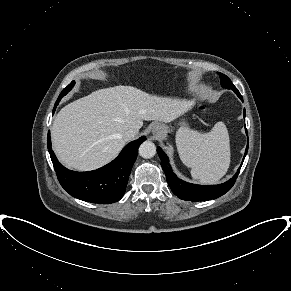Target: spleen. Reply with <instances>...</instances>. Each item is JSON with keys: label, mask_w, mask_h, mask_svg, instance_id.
<instances>
[{"label": "spleen", "mask_w": 291, "mask_h": 291, "mask_svg": "<svg viewBox=\"0 0 291 291\" xmlns=\"http://www.w3.org/2000/svg\"><path fill=\"white\" fill-rule=\"evenodd\" d=\"M176 146L181 161L191 168L192 177L202 183L217 182L230 166V140L223 122L216 123L209 133L179 130Z\"/></svg>", "instance_id": "spleen-1"}]
</instances>
